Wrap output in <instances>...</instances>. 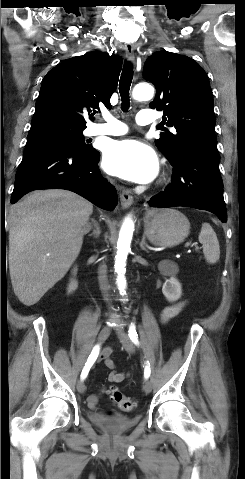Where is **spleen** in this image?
Returning <instances> with one entry per match:
<instances>
[{
  "label": "spleen",
  "mask_w": 245,
  "mask_h": 479,
  "mask_svg": "<svg viewBox=\"0 0 245 479\" xmlns=\"http://www.w3.org/2000/svg\"><path fill=\"white\" fill-rule=\"evenodd\" d=\"M198 239L203 246L206 261L210 264L216 263L220 258V246L216 233L209 223L202 224Z\"/></svg>",
  "instance_id": "3e777b00"
}]
</instances>
